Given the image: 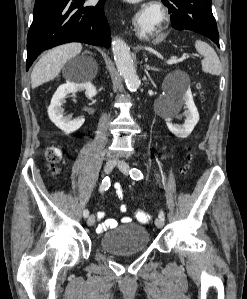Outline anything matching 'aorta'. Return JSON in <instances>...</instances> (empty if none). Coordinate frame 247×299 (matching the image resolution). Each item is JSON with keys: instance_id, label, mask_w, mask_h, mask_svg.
<instances>
[{"instance_id": "1", "label": "aorta", "mask_w": 247, "mask_h": 299, "mask_svg": "<svg viewBox=\"0 0 247 299\" xmlns=\"http://www.w3.org/2000/svg\"><path fill=\"white\" fill-rule=\"evenodd\" d=\"M112 52L116 67L124 78L127 88L131 92H136L141 82L136 74L134 63L130 55V48L123 40L114 38L112 41Z\"/></svg>"}]
</instances>
